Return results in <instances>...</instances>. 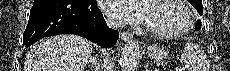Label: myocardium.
Here are the masks:
<instances>
[{"mask_svg": "<svg viewBox=\"0 0 230 71\" xmlns=\"http://www.w3.org/2000/svg\"><path fill=\"white\" fill-rule=\"evenodd\" d=\"M165 1H169L181 9V11L184 13L186 18L185 25L181 29L175 31H163V30L154 29L150 26H146L145 27L146 31L152 36L158 38H166V39L180 38L186 35L187 33H189L194 26V16L190 8L185 4L184 1H180V0H165Z\"/></svg>", "mask_w": 230, "mask_h": 71, "instance_id": "f54148a6", "label": "myocardium"}]
</instances>
